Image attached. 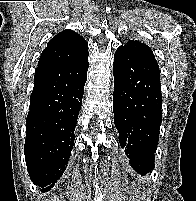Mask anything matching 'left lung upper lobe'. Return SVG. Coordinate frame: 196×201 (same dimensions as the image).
<instances>
[{
	"instance_id": "left-lung-upper-lobe-1",
	"label": "left lung upper lobe",
	"mask_w": 196,
	"mask_h": 201,
	"mask_svg": "<svg viewBox=\"0 0 196 201\" xmlns=\"http://www.w3.org/2000/svg\"><path fill=\"white\" fill-rule=\"evenodd\" d=\"M127 43L137 47L138 49H140L142 52L154 57L152 50L145 44L138 42L136 40H130Z\"/></svg>"
}]
</instances>
